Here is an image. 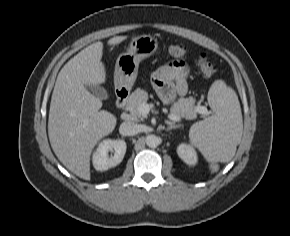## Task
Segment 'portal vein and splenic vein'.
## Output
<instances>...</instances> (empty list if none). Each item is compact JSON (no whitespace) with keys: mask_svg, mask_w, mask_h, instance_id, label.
Here are the masks:
<instances>
[{"mask_svg":"<svg viewBox=\"0 0 290 236\" xmlns=\"http://www.w3.org/2000/svg\"><path fill=\"white\" fill-rule=\"evenodd\" d=\"M198 112L199 113H202V114H205L207 113V108L204 107V106H199L198 108ZM140 112L144 115H147L150 111V106L149 104H142L139 108ZM169 119L172 120V121H180L181 120V117L180 116H176V115H173V114H170L169 116Z\"/></svg>","mask_w":290,"mask_h":236,"instance_id":"18ae733b","label":"portal vein and splenic vein"}]
</instances>
